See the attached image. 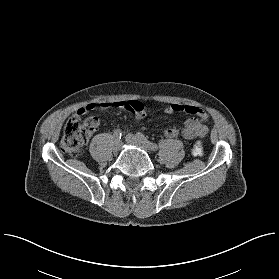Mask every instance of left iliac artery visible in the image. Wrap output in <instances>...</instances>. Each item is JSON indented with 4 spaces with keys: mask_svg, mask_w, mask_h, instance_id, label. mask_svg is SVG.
Instances as JSON below:
<instances>
[{
    "mask_svg": "<svg viewBox=\"0 0 279 279\" xmlns=\"http://www.w3.org/2000/svg\"><path fill=\"white\" fill-rule=\"evenodd\" d=\"M136 135L142 143H144L148 146L149 149H151L153 151H156L158 149L157 144L150 142L142 133H137Z\"/></svg>",
    "mask_w": 279,
    "mask_h": 279,
    "instance_id": "obj_1",
    "label": "left iliac artery"
}]
</instances>
